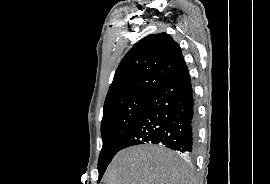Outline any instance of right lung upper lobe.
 Returning <instances> with one entry per match:
<instances>
[{"label": "right lung upper lobe", "instance_id": "obj_1", "mask_svg": "<svg viewBox=\"0 0 270 184\" xmlns=\"http://www.w3.org/2000/svg\"><path fill=\"white\" fill-rule=\"evenodd\" d=\"M180 46L166 33L137 42L116 70L105 104L134 95L149 96L185 66Z\"/></svg>", "mask_w": 270, "mask_h": 184}]
</instances>
